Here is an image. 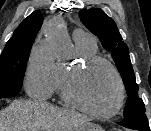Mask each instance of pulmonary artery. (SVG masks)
Returning <instances> with one entry per match:
<instances>
[{"label": "pulmonary artery", "mask_w": 151, "mask_h": 131, "mask_svg": "<svg viewBox=\"0 0 151 131\" xmlns=\"http://www.w3.org/2000/svg\"><path fill=\"white\" fill-rule=\"evenodd\" d=\"M73 39L75 40V42L80 41L95 44V38L91 34L83 30H75L73 32Z\"/></svg>", "instance_id": "pulmonary-artery-1"}]
</instances>
